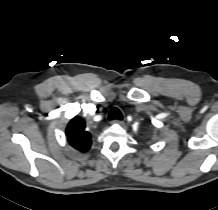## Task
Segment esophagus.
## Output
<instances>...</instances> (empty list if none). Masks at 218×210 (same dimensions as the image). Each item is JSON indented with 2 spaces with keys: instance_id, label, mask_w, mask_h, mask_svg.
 <instances>
[{
  "instance_id": "34e87169",
  "label": "esophagus",
  "mask_w": 218,
  "mask_h": 210,
  "mask_svg": "<svg viewBox=\"0 0 218 210\" xmlns=\"http://www.w3.org/2000/svg\"><path fill=\"white\" fill-rule=\"evenodd\" d=\"M113 123L119 124V125H124V121H122V120H114Z\"/></svg>"
}]
</instances>
